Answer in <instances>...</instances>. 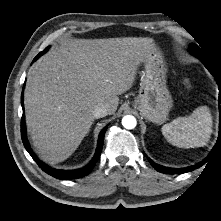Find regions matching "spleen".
<instances>
[{"instance_id": "obj_1", "label": "spleen", "mask_w": 221, "mask_h": 221, "mask_svg": "<svg viewBox=\"0 0 221 221\" xmlns=\"http://www.w3.org/2000/svg\"><path fill=\"white\" fill-rule=\"evenodd\" d=\"M212 123L209 109L200 106L191 115L163 125L161 131L169 143L179 148L202 147L210 139Z\"/></svg>"}]
</instances>
